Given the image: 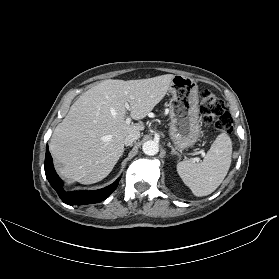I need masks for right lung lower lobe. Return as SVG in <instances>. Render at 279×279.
<instances>
[{
    "mask_svg": "<svg viewBox=\"0 0 279 279\" xmlns=\"http://www.w3.org/2000/svg\"><path fill=\"white\" fill-rule=\"evenodd\" d=\"M45 174L59 197L68 205L93 204L101 202L117 188L119 182V179H117L113 184L94 191H65L63 189V181L54 170L52 157L48 150L46 151L45 156Z\"/></svg>",
    "mask_w": 279,
    "mask_h": 279,
    "instance_id": "1",
    "label": "right lung lower lobe"
}]
</instances>
